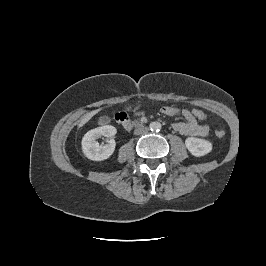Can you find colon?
<instances>
[{"label": "colon", "mask_w": 266, "mask_h": 266, "mask_svg": "<svg viewBox=\"0 0 266 266\" xmlns=\"http://www.w3.org/2000/svg\"><path fill=\"white\" fill-rule=\"evenodd\" d=\"M190 112H191L192 116H193L196 120H204V119H206V113H205L203 110L199 109V108H192V109L190 110ZM215 135H216L218 138H222V137H224V135H225V131H224V130H217V131L215 132Z\"/></svg>", "instance_id": "1"}]
</instances>
